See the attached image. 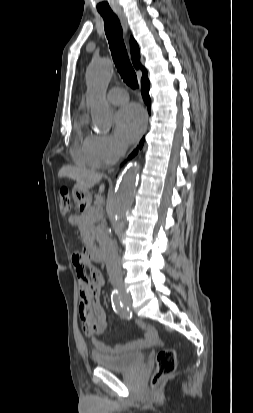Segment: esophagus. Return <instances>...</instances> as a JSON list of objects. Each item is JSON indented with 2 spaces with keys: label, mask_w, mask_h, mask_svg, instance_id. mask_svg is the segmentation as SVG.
I'll use <instances>...</instances> for the list:
<instances>
[{
  "label": "esophagus",
  "mask_w": 253,
  "mask_h": 413,
  "mask_svg": "<svg viewBox=\"0 0 253 413\" xmlns=\"http://www.w3.org/2000/svg\"><path fill=\"white\" fill-rule=\"evenodd\" d=\"M117 15L119 17V20L121 22V25H122V28H123L124 32L127 33L128 24H127V19H126L125 14L123 12H118Z\"/></svg>",
  "instance_id": "34e87169"
}]
</instances>
